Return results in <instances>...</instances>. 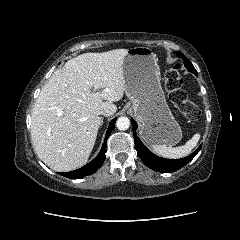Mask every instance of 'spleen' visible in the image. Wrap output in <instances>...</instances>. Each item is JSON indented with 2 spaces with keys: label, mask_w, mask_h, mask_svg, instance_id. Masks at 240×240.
Returning a JSON list of instances; mask_svg holds the SVG:
<instances>
[{
  "label": "spleen",
  "mask_w": 240,
  "mask_h": 240,
  "mask_svg": "<svg viewBox=\"0 0 240 240\" xmlns=\"http://www.w3.org/2000/svg\"><path fill=\"white\" fill-rule=\"evenodd\" d=\"M199 139L200 134L196 133L183 146L171 148L167 147L166 145L153 144L151 145V148L157 155L161 157L178 159L189 155L192 152V150L196 147Z\"/></svg>",
  "instance_id": "1"
}]
</instances>
